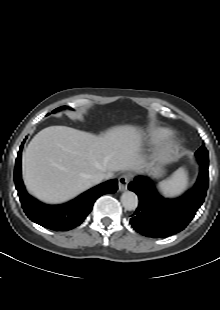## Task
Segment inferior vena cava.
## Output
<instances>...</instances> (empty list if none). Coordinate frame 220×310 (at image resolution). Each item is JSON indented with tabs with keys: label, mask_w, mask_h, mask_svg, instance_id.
I'll return each instance as SVG.
<instances>
[{
	"label": "inferior vena cava",
	"mask_w": 220,
	"mask_h": 310,
	"mask_svg": "<svg viewBox=\"0 0 220 310\" xmlns=\"http://www.w3.org/2000/svg\"><path fill=\"white\" fill-rule=\"evenodd\" d=\"M106 178H108L107 175L105 173H102V172H97V173L90 176V180L93 184H98Z\"/></svg>",
	"instance_id": "inferior-vena-cava-1"
}]
</instances>
